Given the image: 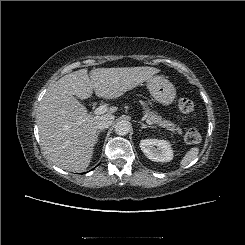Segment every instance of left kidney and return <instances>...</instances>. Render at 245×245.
Wrapping results in <instances>:
<instances>
[{
	"mask_svg": "<svg viewBox=\"0 0 245 245\" xmlns=\"http://www.w3.org/2000/svg\"><path fill=\"white\" fill-rule=\"evenodd\" d=\"M140 148L145 156L155 162H169L173 159L171 144L166 140L143 139Z\"/></svg>",
	"mask_w": 245,
	"mask_h": 245,
	"instance_id": "obj_1",
	"label": "left kidney"
}]
</instances>
